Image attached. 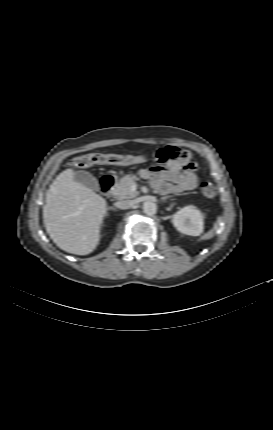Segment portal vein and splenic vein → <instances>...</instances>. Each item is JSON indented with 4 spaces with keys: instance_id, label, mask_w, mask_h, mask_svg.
<instances>
[{
    "instance_id": "portal-vein-and-splenic-vein-1",
    "label": "portal vein and splenic vein",
    "mask_w": 273,
    "mask_h": 430,
    "mask_svg": "<svg viewBox=\"0 0 273 430\" xmlns=\"http://www.w3.org/2000/svg\"><path fill=\"white\" fill-rule=\"evenodd\" d=\"M136 190V185H132L131 186V191H135Z\"/></svg>"
}]
</instances>
